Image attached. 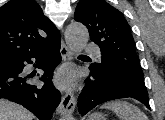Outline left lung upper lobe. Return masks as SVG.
Returning a JSON list of instances; mask_svg holds the SVG:
<instances>
[{
    "label": "left lung upper lobe",
    "instance_id": "obj_1",
    "mask_svg": "<svg viewBox=\"0 0 165 120\" xmlns=\"http://www.w3.org/2000/svg\"><path fill=\"white\" fill-rule=\"evenodd\" d=\"M74 17L101 49V63L91 64L99 77L116 85L145 87L130 26L119 10L104 0H80Z\"/></svg>",
    "mask_w": 165,
    "mask_h": 120
}]
</instances>
